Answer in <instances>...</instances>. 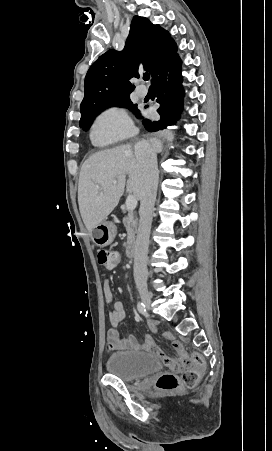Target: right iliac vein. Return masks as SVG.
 <instances>
[{"label":"right iliac vein","mask_w":272,"mask_h":451,"mask_svg":"<svg viewBox=\"0 0 272 451\" xmlns=\"http://www.w3.org/2000/svg\"><path fill=\"white\" fill-rule=\"evenodd\" d=\"M139 296H140L142 302L144 303V305L147 308H150V306H151V296H150L147 288H145V287L140 288L139 289Z\"/></svg>","instance_id":"obj_1"}]
</instances>
